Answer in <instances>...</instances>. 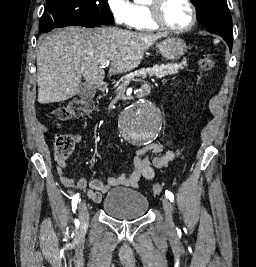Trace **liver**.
<instances>
[{
  "label": "liver",
  "instance_id": "obj_1",
  "mask_svg": "<svg viewBox=\"0 0 256 267\" xmlns=\"http://www.w3.org/2000/svg\"><path fill=\"white\" fill-rule=\"evenodd\" d=\"M159 34H140L111 26L79 28L69 26L49 34L37 54L39 104L65 102L79 92L82 78L88 84H103L100 62H110L109 76L138 68L145 50Z\"/></svg>",
  "mask_w": 256,
  "mask_h": 267
}]
</instances>
